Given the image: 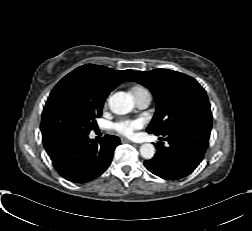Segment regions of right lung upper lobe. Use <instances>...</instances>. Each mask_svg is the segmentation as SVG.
Returning a JSON list of instances; mask_svg holds the SVG:
<instances>
[{"instance_id": "cb5924a9", "label": "right lung upper lobe", "mask_w": 252, "mask_h": 231, "mask_svg": "<svg viewBox=\"0 0 252 231\" xmlns=\"http://www.w3.org/2000/svg\"><path fill=\"white\" fill-rule=\"evenodd\" d=\"M131 72L132 70L115 71L105 66L86 64L66 75L57 85L74 83L89 94L106 98Z\"/></svg>"}]
</instances>
